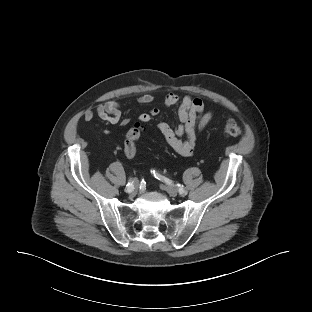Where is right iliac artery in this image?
Masks as SVG:
<instances>
[{
  "label": "right iliac artery",
  "instance_id": "1",
  "mask_svg": "<svg viewBox=\"0 0 312 312\" xmlns=\"http://www.w3.org/2000/svg\"><path fill=\"white\" fill-rule=\"evenodd\" d=\"M134 189V185H133V181H130L127 185H126V192L131 193Z\"/></svg>",
  "mask_w": 312,
  "mask_h": 312
}]
</instances>
